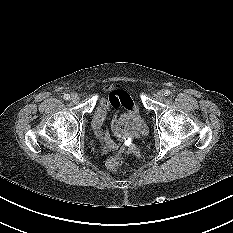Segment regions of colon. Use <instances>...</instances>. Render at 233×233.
I'll use <instances>...</instances> for the list:
<instances>
[{
	"instance_id": "colon-1",
	"label": "colon",
	"mask_w": 233,
	"mask_h": 233,
	"mask_svg": "<svg viewBox=\"0 0 233 233\" xmlns=\"http://www.w3.org/2000/svg\"><path fill=\"white\" fill-rule=\"evenodd\" d=\"M123 158L121 155H115L107 160V167L110 170L116 171L118 167L122 164Z\"/></svg>"
}]
</instances>
